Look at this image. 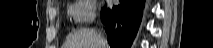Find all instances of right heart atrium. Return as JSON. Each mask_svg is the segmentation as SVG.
<instances>
[{"instance_id":"obj_1","label":"right heart atrium","mask_w":213,"mask_h":48,"mask_svg":"<svg viewBox=\"0 0 213 48\" xmlns=\"http://www.w3.org/2000/svg\"><path fill=\"white\" fill-rule=\"evenodd\" d=\"M72 20L77 24L91 22L96 13V2L94 0H79L71 4L68 9Z\"/></svg>"}]
</instances>
